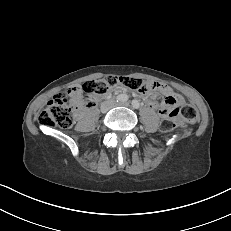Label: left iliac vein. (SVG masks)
<instances>
[{
    "label": "left iliac vein",
    "instance_id": "left-iliac-vein-1",
    "mask_svg": "<svg viewBox=\"0 0 231 231\" xmlns=\"http://www.w3.org/2000/svg\"><path fill=\"white\" fill-rule=\"evenodd\" d=\"M130 104L129 102H118L116 103V106H125V107H128Z\"/></svg>",
    "mask_w": 231,
    "mask_h": 231
}]
</instances>
